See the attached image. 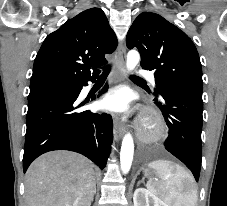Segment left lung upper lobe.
I'll return each instance as SVG.
<instances>
[{
    "mask_svg": "<svg viewBox=\"0 0 227 206\" xmlns=\"http://www.w3.org/2000/svg\"><path fill=\"white\" fill-rule=\"evenodd\" d=\"M126 45L138 48L143 69L155 71L159 93L167 88L202 93V68L194 43L162 16L141 13L128 31Z\"/></svg>",
    "mask_w": 227,
    "mask_h": 206,
    "instance_id": "obj_1",
    "label": "left lung upper lobe"
}]
</instances>
